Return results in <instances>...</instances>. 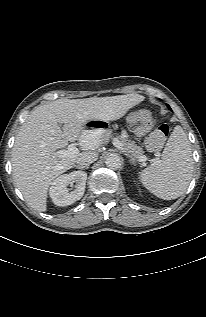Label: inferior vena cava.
<instances>
[{
  "mask_svg": "<svg viewBox=\"0 0 206 317\" xmlns=\"http://www.w3.org/2000/svg\"><path fill=\"white\" fill-rule=\"evenodd\" d=\"M98 159V154L95 152H84L78 158L76 163L80 167L90 165Z\"/></svg>",
  "mask_w": 206,
  "mask_h": 317,
  "instance_id": "obj_1",
  "label": "inferior vena cava"
}]
</instances>
